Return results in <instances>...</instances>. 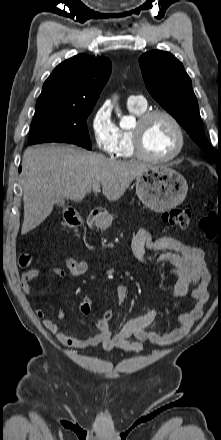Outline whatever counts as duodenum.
I'll use <instances>...</instances> for the list:
<instances>
[{"label":"duodenum","mask_w":221,"mask_h":440,"mask_svg":"<svg viewBox=\"0 0 221 440\" xmlns=\"http://www.w3.org/2000/svg\"><path fill=\"white\" fill-rule=\"evenodd\" d=\"M104 219H105V216H104L103 212H101V211H98V212L92 214L91 218H90V220L93 223H102L104 221Z\"/></svg>","instance_id":"410a0bca"}]
</instances>
